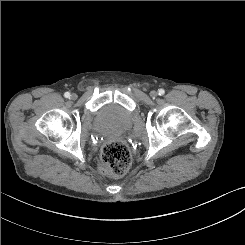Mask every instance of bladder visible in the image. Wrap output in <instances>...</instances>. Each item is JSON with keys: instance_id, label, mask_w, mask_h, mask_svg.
<instances>
[{"instance_id": "obj_1", "label": "bladder", "mask_w": 245, "mask_h": 245, "mask_svg": "<svg viewBox=\"0 0 245 245\" xmlns=\"http://www.w3.org/2000/svg\"><path fill=\"white\" fill-rule=\"evenodd\" d=\"M133 125L132 113L116 105H106L97 113L93 121V129L97 133H125Z\"/></svg>"}]
</instances>
